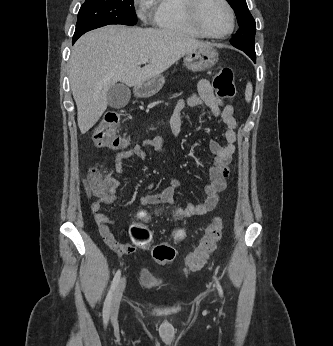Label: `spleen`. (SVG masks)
<instances>
[{"instance_id":"obj_1","label":"spleen","mask_w":333,"mask_h":346,"mask_svg":"<svg viewBox=\"0 0 333 346\" xmlns=\"http://www.w3.org/2000/svg\"><path fill=\"white\" fill-rule=\"evenodd\" d=\"M252 92H253L252 84L248 82L246 86V90H245V99L247 102L251 101Z\"/></svg>"}]
</instances>
